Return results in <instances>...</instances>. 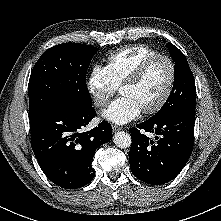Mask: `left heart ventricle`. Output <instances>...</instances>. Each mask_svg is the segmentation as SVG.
Returning <instances> with one entry per match:
<instances>
[{
    "mask_svg": "<svg viewBox=\"0 0 221 221\" xmlns=\"http://www.w3.org/2000/svg\"><path fill=\"white\" fill-rule=\"evenodd\" d=\"M169 77L170 69L167 62L156 60L138 82L123 87L120 93L132 98L143 110L154 106L161 99L167 88Z\"/></svg>",
    "mask_w": 221,
    "mask_h": 221,
    "instance_id": "left-heart-ventricle-1",
    "label": "left heart ventricle"
}]
</instances>
